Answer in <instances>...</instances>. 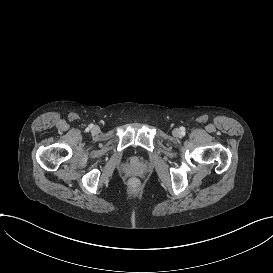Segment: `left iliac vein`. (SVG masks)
Wrapping results in <instances>:
<instances>
[{
	"label": "left iliac vein",
	"mask_w": 273,
	"mask_h": 273,
	"mask_svg": "<svg viewBox=\"0 0 273 273\" xmlns=\"http://www.w3.org/2000/svg\"><path fill=\"white\" fill-rule=\"evenodd\" d=\"M172 134L173 136L175 137H179L181 135V132L178 128H175L173 131H172Z\"/></svg>",
	"instance_id": "1"
}]
</instances>
